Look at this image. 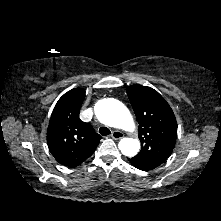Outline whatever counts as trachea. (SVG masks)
I'll use <instances>...</instances> for the list:
<instances>
[{"mask_svg":"<svg viewBox=\"0 0 221 221\" xmlns=\"http://www.w3.org/2000/svg\"><path fill=\"white\" fill-rule=\"evenodd\" d=\"M99 132L102 136H107L111 133L107 127H100Z\"/></svg>","mask_w":221,"mask_h":221,"instance_id":"obj_1","label":"trachea"}]
</instances>
